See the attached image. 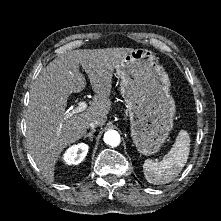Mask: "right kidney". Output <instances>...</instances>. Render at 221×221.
<instances>
[{"mask_svg":"<svg viewBox=\"0 0 221 221\" xmlns=\"http://www.w3.org/2000/svg\"><path fill=\"white\" fill-rule=\"evenodd\" d=\"M88 149V145L84 143L73 145L66 150L63 156V160L66 164L77 165L84 160L88 153Z\"/></svg>","mask_w":221,"mask_h":221,"instance_id":"obj_1","label":"right kidney"}]
</instances>
